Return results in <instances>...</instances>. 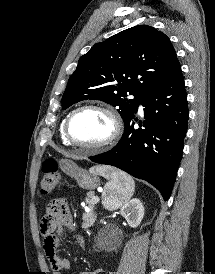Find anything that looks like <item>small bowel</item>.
<instances>
[{
    "label": "small bowel",
    "mask_w": 215,
    "mask_h": 274,
    "mask_svg": "<svg viewBox=\"0 0 215 274\" xmlns=\"http://www.w3.org/2000/svg\"><path fill=\"white\" fill-rule=\"evenodd\" d=\"M40 227L43 236L44 252L50 262L53 274H62L64 270L70 269V262L57 253L60 242L59 236L65 229L70 231L76 230V224L65 200L56 199L48 205ZM76 240L80 246L84 247L82 236L78 235ZM101 272H105V270L101 268L92 272H81L80 274H98Z\"/></svg>",
    "instance_id": "c3829d8e"
}]
</instances>
